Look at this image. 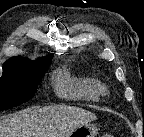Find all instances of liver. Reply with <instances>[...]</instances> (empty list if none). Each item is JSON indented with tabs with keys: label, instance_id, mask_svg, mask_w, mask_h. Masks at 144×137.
<instances>
[{
	"label": "liver",
	"instance_id": "1",
	"mask_svg": "<svg viewBox=\"0 0 144 137\" xmlns=\"http://www.w3.org/2000/svg\"><path fill=\"white\" fill-rule=\"evenodd\" d=\"M96 119L92 112L79 107H32L3 117L0 137H68L76 128Z\"/></svg>",
	"mask_w": 144,
	"mask_h": 137
}]
</instances>
